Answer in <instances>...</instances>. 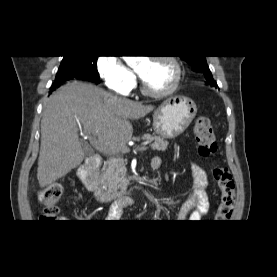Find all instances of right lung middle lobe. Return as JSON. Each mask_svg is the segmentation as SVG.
I'll use <instances>...</instances> for the list:
<instances>
[{"label":"right lung middle lobe","instance_id":"obj_1","mask_svg":"<svg viewBox=\"0 0 277 277\" xmlns=\"http://www.w3.org/2000/svg\"><path fill=\"white\" fill-rule=\"evenodd\" d=\"M97 59L98 56H63L57 74L73 72L74 74L87 76L97 82L99 75L96 68Z\"/></svg>","mask_w":277,"mask_h":277}]
</instances>
